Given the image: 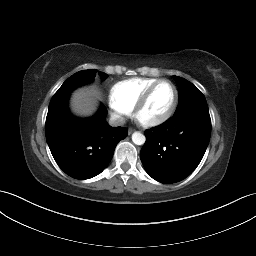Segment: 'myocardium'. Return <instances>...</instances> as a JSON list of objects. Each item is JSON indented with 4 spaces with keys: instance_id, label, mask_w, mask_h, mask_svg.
Instances as JSON below:
<instances>
[{
    "instance_id": "1",
    "label": "myocardium",
    "mask_w": 256,
    "mask_h": 256,
    "mask_svg": "<svg viewBox=\"0 0 256 256\" xmlns=\"http://www.w3.org/2000/svg\"><path fill=\"white\" fill-rule=\"evenodd\" d=\"M162 83H168L173 88L174 96H173V100H172L170 107L168 108V110L165 113H163L159 117H155V118H151V119L141 118L142 110L147 105V103H148L150 97L152 96L153 92L155 91V89ZM178 99H179V93H178V89H177L176 85L168 79H159L158 81H156L154 84H152L145 90V92L142 94V96L139 98V100L135 104V106L133 108L134 117L142 126H145V127H154V126L160 125V124L164 123L165 121H167L173 115V113L176 110L177 104H178Z\"/></svg>"
}]
</instances>
